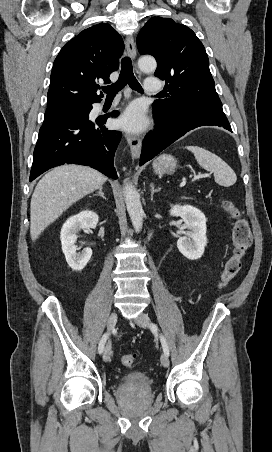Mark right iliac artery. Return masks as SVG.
<instances>
[{"label": "right iliac artery", "instance_id": "1", "mask_svg": "<svg viewBox=\"0 0 272 452\" xmlns=\"http://www.w3.org/2000/svg\"><path fill=\"white\" fill-rule=\"evenodd\" d=\"M108 337H109V333H108V332L105 333V334L102 336V338H101V340H100V342H99V346H98V352H99V354H102V353H103L104 346H105V343H106Z\"/></svg>", "mask_w": 272, "mask_h": 452}]
</instances>
